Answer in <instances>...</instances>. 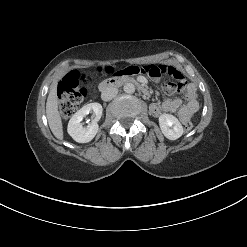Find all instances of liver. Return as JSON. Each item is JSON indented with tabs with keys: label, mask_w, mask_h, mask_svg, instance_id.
Wrapping results in <instances>:
<instances>
[{
	"label": "liver",
	"mask_w": 247,
	"mask_h": 247,
	"mask_svg": "<svg viewBox=\"0 0 247 247\" xmlns=\"http://www.w3.org/2000/svg\"><path fill=\"white\" fill-rule=\"evenodd\" d=\"M46 115L49 127L53 135L59 139H63L62 120L58 111L57 85L53 84L46 102Z\"/></svg>",
	"instance_id": "liver-1"
}]
</instances>
